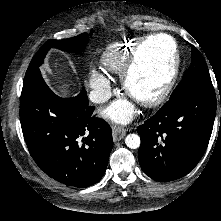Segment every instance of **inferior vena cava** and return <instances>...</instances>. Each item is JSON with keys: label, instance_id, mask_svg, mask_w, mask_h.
Segmentation results:
<instances>
[{"label": "inferior vena cava", "instance_id": "obj_1", "mask_svg": "<svg viewBox=\"0 0 221 221\" xmlns=\"http://www.w3.org/2000/svg\"><path fill=\"white\" fill-rule=\"evenodd\" d=\"M111 97V92L107 89H94L90 91L89 99L93 103H103L106 102Z\"/></svg>", "mask_w": 221, "mask_h": 221}]
</instances>
